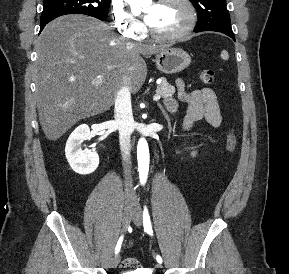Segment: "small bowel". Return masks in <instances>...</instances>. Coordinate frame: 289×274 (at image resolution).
Returning a JSON list of instances; mask_svg holds the SVG:
<instances>
[{"mask_svg":"<svg viewBox=\"0 0 289 274\" xmlns=\"http://www.w3.org/2000/svg\"><path fill=\"white\" fill-rule=\"evenodd\" d=\"M179 98L188 104L183 130H188L194 123L205 119L213 128H218L222 123V115L215 92L207 87L188 91L182 80H177ZM177 103L173 99L166 101L169 113L176 110Z\"/></svg>","mask_w":289,"mask_h":274,"instance_id":"1","label":"small bowel"}]
</instances>
